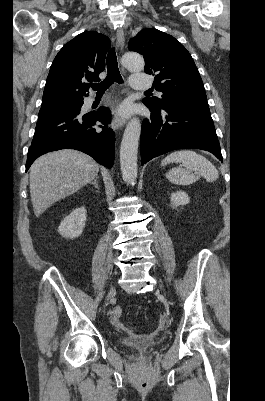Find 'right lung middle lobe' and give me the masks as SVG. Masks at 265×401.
<instances>
[{
  "label": "right lung middle lobe",
  "mask_w": 265,
  "mask_h": 401,
  "mask_svg": "<svg viewBox=\"0 0 265 401\" xmlns=\"http://www.w3.org/2000/svg\"><path fill=\"white\" fill-rule=\"evenodd\" d=\"M82 105L83 100H66L45 104L41 106L38 118L54 113L78 114L80 113Z\"/></svg>",
  "instance_id": "dd1d6c3e"
}]
</instances>
